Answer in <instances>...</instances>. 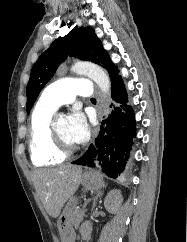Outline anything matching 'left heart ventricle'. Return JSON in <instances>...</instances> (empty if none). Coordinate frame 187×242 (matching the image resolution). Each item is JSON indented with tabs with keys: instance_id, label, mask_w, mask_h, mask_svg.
<instances>
[{
	"instance_id": "b2bd125f",
	"label": "left heart ventricle",
	"mask_w": 187,
	"mask_h": 242,
	"mask_svg": "<svg viewBox=\"0 0 187 242\" xmlns=\"http://www.w3.org/2000/svg\"><path fill=\"white\" fill-rule=\"evenodd\" d=\"M56 130L57 134L59 136V139L61 140L62 144L65 147L71 148L75 146V143L72 142L68 135L67 131V119L63 116H60L57 118L56 121Z\"/></svg>"
}]
</instances>
